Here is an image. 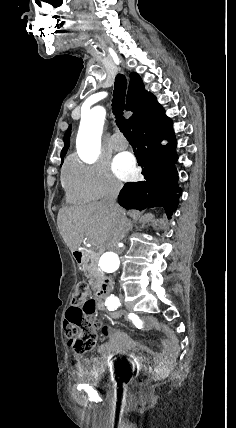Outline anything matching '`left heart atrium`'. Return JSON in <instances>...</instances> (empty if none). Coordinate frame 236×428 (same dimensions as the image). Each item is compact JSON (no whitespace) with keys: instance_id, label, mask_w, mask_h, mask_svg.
Returning a JSON list of instances; mask_svg holds the SVG:
<instances>
[{"instance_id":"left-heart-atrium-1","label":"left heart atrium","mask_w":236,"mask_h":428,"mask_svg":"<svg viewBox=\"0 0 236 428\" xmlns=\"http://www.w3.org/2000/svg\"><path fill=\"white\" fill-rule=\"evenodd\" d=\"M112 170L114 175L122 180L132 179L136 172L133 157L129 154L118 156L113 161Z\"/></svg>"}]
</instances>
